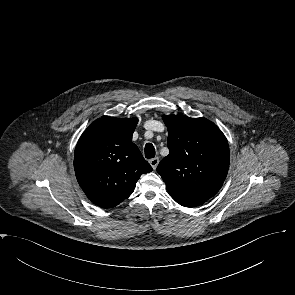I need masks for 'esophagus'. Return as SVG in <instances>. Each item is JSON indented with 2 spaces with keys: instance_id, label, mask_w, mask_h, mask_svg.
<instances>
[{
  "instance_id": "34e87169",
  "label": "esophagus",
  "mask_w": 295,
  "mask_h": 295,
  "mask_svg": "<svg viewBox=\"0 0 295 295\" xmlns=\"http://www.w3.org/2000/svg\"><path fill=\"white\" fill-rule=\"evenodd\" d=\"M150 165L153 169H156L159 164V157H155L149 160Z\"/></svg>"
}]
</instances>
